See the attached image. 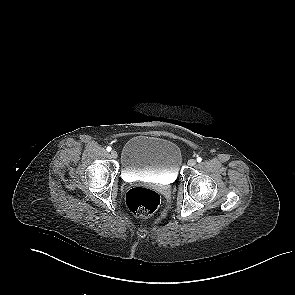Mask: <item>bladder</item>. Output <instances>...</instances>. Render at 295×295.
<instances>
[{
    "instance_id": "obj_1",
    "label": "bladder",
    "mask_w": 295,
    "mask_h": 295,
    "mask_svg": "<svg viewBox=\"0 0 295 295\" xmlns=\"http://www.w3.org/2000/svg\"><path fill=\"white\" fill-rule=\"evenodd\" d=\"M182 160L178 145L170 140L139 135L130 138L121 150V171L125 177L150 176L173 182Z\"/></svg>"
}]
</instances>
